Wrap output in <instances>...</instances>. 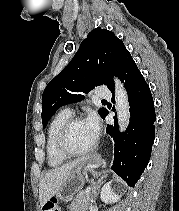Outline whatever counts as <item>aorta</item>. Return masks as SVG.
Segmentation results:
<instances>
[{
  "mask_svg": "<svg viewBox=\"0 0 179 211\" xmlns=\"http://www.w3.org/2000/svg\"><path fill=\"white\" fill-rule=\"evenodd\" d=\"M115 81V101H116V112H117V119L118 125L121 132L125 131L128 127L130 121V106L128 95L123 87L121 81L117 78L114 79Z\"/></svg>",
  "mask_w": 179,
  "mask_h": 211,
  "instance_id": "762f6f07",
  "label": "aorta"
}]
</instances>
